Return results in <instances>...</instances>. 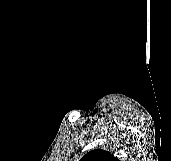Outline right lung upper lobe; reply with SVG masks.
<instances>
[{
  "instance_id": "right-lung-upper-lobe-1",
  "label": "right lung upper lobe",
  "mask_w": 171,
  "mask_h": 161,
  "mask_svg": "<svg viewBox=\"0 0 171 161\" xmlns=\"http://www.w3.org/2000/svg\"><path fill=\"white\" fill-rule=\"evenodd\" d=\"M80 161H119V159L108 151L95 149L88 152Z\"/></svg>"
}]
</instances>
